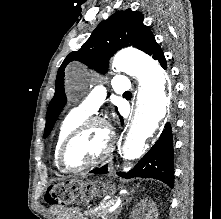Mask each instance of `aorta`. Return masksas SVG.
Here are the masks:
<instances>
[{
	"label": "aorta",
	"mask_w": 221,
	"mask_h": 219,
	"mask_svg": "<svg viewBox=\"0 0 221 219\" xmlns=\"http://www.w3.org/2000/svg\"><path fill=\"white\" fill-rule=\"evenodd\" d=\"M113 67L136 76L140 83L136 110L122 148L123 158L132 160L140 157L146 138L152 135L167 113L166 75L156 60L135 48L119 51L113 58ZM79 79L80 71L77 68L66 70L67 85L73 86Z\"/></svg>",
	"instance_id": "aorta-1"
}]
</instances>
